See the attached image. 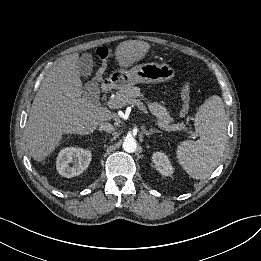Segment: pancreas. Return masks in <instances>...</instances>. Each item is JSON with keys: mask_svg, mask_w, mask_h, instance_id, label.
<instances>
[{"mask_svg": "<svg viewBox=\"0 0 261 261\" xmlns=\"http://www.w3.org/2000/svg\"><path fill=\"white\" fill-rule=\"evenodd\" d=\"M142 96L140 92V88L133 86H124L121 87L120 90L116 93L113 99L119 100L123 105H131L134 104L135 98ZM148 108L151 114L156 118V122L159 126L167 131L173 129L174 126H178L179 130L186 129L185 125L182 124H174L170 125L173 119L170 116V113L167 109L158 102H147Z\"/></svg>", "mask_w": 261, "mask_h": 261, "instance_id": "cf45deb5", "label": "pancreas"}]
</instances>
